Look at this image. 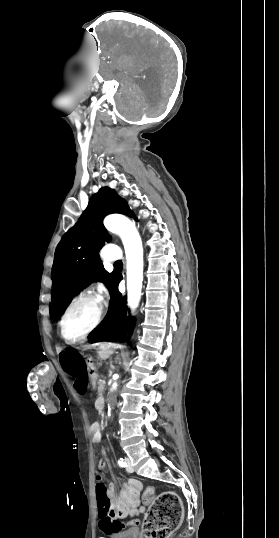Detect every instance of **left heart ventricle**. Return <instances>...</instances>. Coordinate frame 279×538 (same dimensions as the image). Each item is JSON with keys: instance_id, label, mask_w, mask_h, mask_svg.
I'll use <instances>...</instances> for the list:
<instances>
[{"instance_id": "1", "label": "left heart ventricle", "mask_w": 279, "mask_h": 538, "mask_svg": "<svg viewBox=\"0 0 279 538\" xmlns=\"http://www.w3.org/2000/svg\"><path fill=\"white\" fill-rule=\"evenodd\" d=\"M96 315V304L85 301L76 306L68 316L64 334L67 339L73 340L81 335L92 323Z\"/></svg>"}]
</instances>
